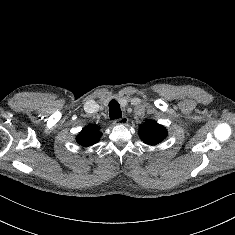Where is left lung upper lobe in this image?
<instances>
[{
    "instance_id": "1",
    "label": "left lung upper lobe",
    "mask_w": 235,
    "mask_h": 235,
    "mask_svg": "<svg viewBox=\"0 0 235 235\" xmlns=\"http://www.w3.org/2000/svg\"><path fill=\"white\" fill-rule=\"evenodd\" d=\"M139 132L143 142L148 145H156L167 136L166 128L154 120L147 121L140 125Z\"/></svg>"
}]
</instances>
